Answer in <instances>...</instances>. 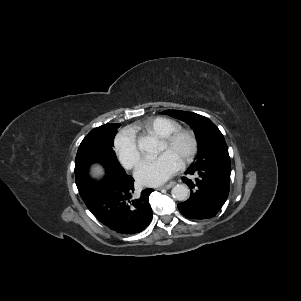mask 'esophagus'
I'll return each instance as SVG.
<instances>
[{"instance_id":"34e87169","label":"esophagus","mask_w":301,"mask_h":301,"mask_svg":"<svg viewBox=\"0 0 301 301\" xmlns=\"http://www.w3.org/2000/svg\"><path fill=\"white\" fill-rule=\"evenodd\" d=\"M175 184H176L175 181H171V182H169L168 184H166V185L160 187L159 189H170V188L173 187Z\"/></svg>"}]
</instances>
